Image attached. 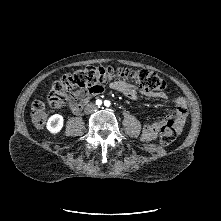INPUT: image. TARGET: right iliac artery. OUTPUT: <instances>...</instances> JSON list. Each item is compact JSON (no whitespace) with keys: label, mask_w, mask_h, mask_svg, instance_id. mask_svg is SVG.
<instances>
[{"label":"right iliac artery","mask_w":221,"mask_h":221,"mask_svg":"<svg viewBox=\"0 0 221 221\" xmlns=\"http://www.w3.org/2000/svg\"><path fill=\"white\" fill-rule=\"evenodd\" d=\"M96 104H97V105H101V104H102V101H101V100H97V101H96Z\"/></svg>","instance_id":"1"}]
</instances>
